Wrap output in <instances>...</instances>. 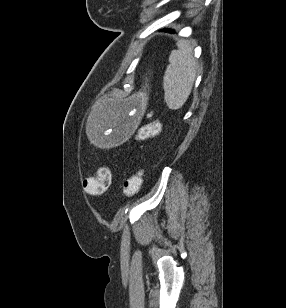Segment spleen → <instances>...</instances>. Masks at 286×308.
Returning a JSON list of instances; mask_svg holds the SVG:
<instances>
[{
	"mask_svg": "<svg viewBox=\"0 0 286 308\" xmlns=\"http://www.w3.org/2000/svg\"><path fill=\"white\" fill-rule=\"evenodd\" d=\"M178 50L171 52L170 64L163 77L165 102L169 109L178 110L187 101L195 78L196 61L193 58V48L188 41L177 43Z\"/></svg>",
	"mask_w": 286,
	"mask_h": 308,
	"instance_id": "spleen-1",
	"label": "spleen"
}]
</instances>
